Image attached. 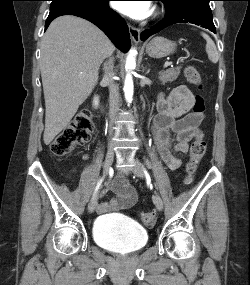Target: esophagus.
I'll return each instance as SVG.
<instances>
[{
	"label": "esophagus",
	"instance_id": "1",
	"mask_svg": "<svg viewBox=\"0 0 250 285\" xmlns=\"http://www.w3.org/2000/svg\"><path fill=\"white\" fill-rule=\"evenodd\" d=\"M129 33H130L132 41L134 43H138L140 40V29L130 25Z\"/></svg>",
	"mask_w": 250,
	"mask_h": 285
}]
</instances>
